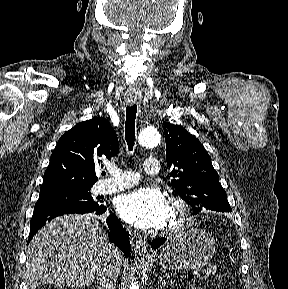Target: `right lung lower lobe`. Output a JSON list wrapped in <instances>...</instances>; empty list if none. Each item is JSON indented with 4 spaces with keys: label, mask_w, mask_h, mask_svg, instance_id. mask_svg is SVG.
<instances>
[{
    "label": "right lung lower lobe",
    "mask_w": 288,
    "mask_h": 289,
    "mask_svg": "<svg viewBox=\"0 0 288 289\" xmlns=\"http://www.w3.org/2000/svg\"><path fill=\"white\" fill-rule=\"evenodd\" d=\"M107 211V207L103 205H98V207L93 209L79 208L74 206L66 205H46L34 208V213L30 222V233L29 241L34 236V234L46 224V222L52 220L53 218L64 215V214H84L94 212L97 215H102ZM107 225L111 230L108 232L109 240L118 246L124 253L125 257L130 255L131 245L129 241V233L126 232L120 221L115 215H110L106 219Z\"/></svg>",
    "instance_id": "right-lung-lower-lobe-1"
}]
</instances>
